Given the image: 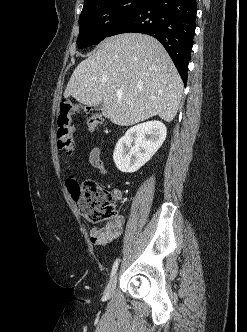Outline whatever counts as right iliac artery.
<instances>
[{
  "mask_svg": "<svg viewBox=\"0 0 247 332\" xmlns=\"http://www.w3.org/2000/svg\"><path fill=\"white\" fill-rule=\"evenodd\" d=\"M118 264H119V259H116V261L114 262L113 267H112L111 277H113L114 274L116 273L117 268H118Z\"/></svg>",
  "mask_w": 247,
  "mask_h": 332,
  "instance_id": "1",
  "label": "right iliac artery"
}]
</instances>
